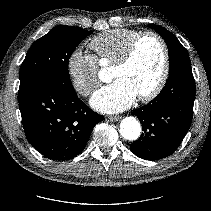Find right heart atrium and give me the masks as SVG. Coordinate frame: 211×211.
<instances>
[{
    "mask_svg": "<svg viewBox=\"0 0 211 211\" xmlns=\"http://www.w3.org/2000/svg\"><path fill=\"white\" fill-rule=\"evenodd\" d=\"M67 72L75 91L83 97L90 96L99 86V69L94 55L80 47L67 59Z\"/></svg>",
    "mask_w": 211,
    "mask_h": 211,
    "instance_id": "1",
    "label": "right heart atrium"
}]
</instances>
